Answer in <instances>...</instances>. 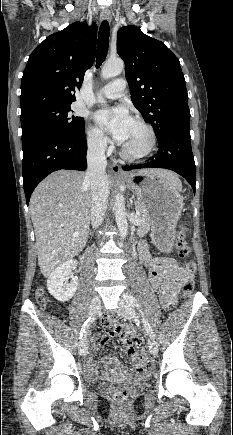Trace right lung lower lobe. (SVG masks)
Listing matches in <instances>:
<instances>
[{
	"instance_id": "1",
	"label": "right lung lower lobe",
	"mask_w": 233,
	"mask_h": 435,
	"mask_svg": "<svg viewBox=\"0 0 233 435\" xmlns=\"http://www.w3.org/2000/svg\"><path fill=\"white\" fill-rule=\"evenodd\" d=\"M85 131L78 137L44 132L22 140L23 185L26 202L35 187L50 173L60 170L87 168Z\"/></svg>"
}]
</instances>
